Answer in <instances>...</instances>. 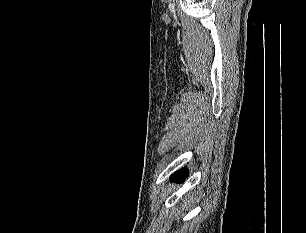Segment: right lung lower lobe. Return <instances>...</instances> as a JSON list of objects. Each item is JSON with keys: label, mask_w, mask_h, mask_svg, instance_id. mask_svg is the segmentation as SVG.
Returning <instances> with one entry per match:
<instances>
[{"label": "right lung lower lobe", "mask_w": 306, "mask_h": 233, "mask_svg": "<svg viewBox=\"0 0 306 233\" xmlns=\"http://www.w3.org/2000/svg\"><path fill=\"white\" fill-rule=\"evenodd\" d=\"M188 176V170L187 168H183L179 171H176L173 175H171L170 180L173 181H183Z\"/></svg>", "instance_id": "obj_1"}]
</instances>
